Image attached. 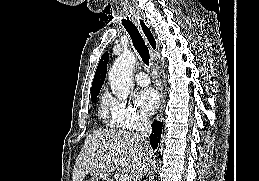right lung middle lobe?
<instances>
[{"label": "right lung middle lobe", "mask_w": 259, "mask_h": 181, "mask_svg": "<svg viewBox=\"0 0 259 181\" xmlns=\"http://www.w3.org/2000/svg\"><path fill=\"white\" fill-rule=\"evenodd\" d=\"M96 99H97V96L91 98L92 102H96Z\"/></svg>", "instance_id": "obj_1"}]
</instances>
